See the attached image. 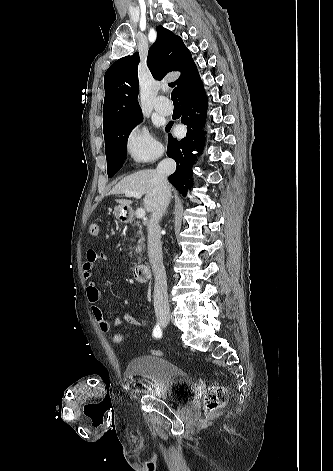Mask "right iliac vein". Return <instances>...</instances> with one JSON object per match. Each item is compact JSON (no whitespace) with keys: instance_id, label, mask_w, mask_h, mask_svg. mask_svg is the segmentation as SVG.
<instances>
[{"instance_id":"63e3f726","label":"right iliac vein","mask_w":333,"mask_h":471,"mask_svg":"<svg viewBox=\"0 0 333 471\" xmlns=\"http://www.w3.org/2000/svg\"><path fill=\"white\" fill-rule=\"evenodd\" d=\"M159 319L164 324V323H167L170 320V316H168V315L160 316Z\"/></svg>"}]
</instances>
